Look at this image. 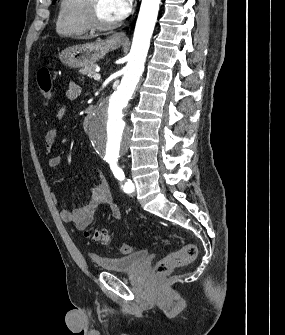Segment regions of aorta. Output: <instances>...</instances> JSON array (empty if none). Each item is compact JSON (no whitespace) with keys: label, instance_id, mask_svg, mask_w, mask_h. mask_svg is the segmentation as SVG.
Here are the masks:
<instances>
[{"label":"aorta","instance_id":"obj_1","mask_svg":"<svg viewBox=\"0 0 285 335\" xmlns=\"http://www.w3.org/2000/svg\"><path fill=\"white\" fill-rule=\"evenodd\" d=\"M159 4L161 0H142L121 84L118 90H111L106 100H100L90 120V127H86V134L93 137L91 146L98 147L97 156H101V160H120L124 152H129L133 131L129 125H125L122 112H125L127 102L133 101L134 90L144 72Z\"/></svg>","mask_w":285,"mask_h":335}]
</instances>
